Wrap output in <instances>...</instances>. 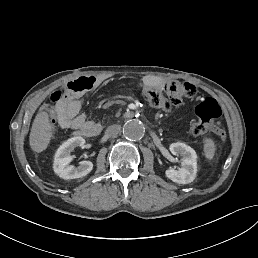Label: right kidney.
<instances>
[{
    "label": "right kidney",
    "mask_w": 258,
    "mask_h": 258,
    "mask_svg": "<svg viewBox=\"0 0 258 258\" xmlns=\"http://www.w3.org/2000/svg\"><path fill=\"white\" fill-rule=\"evenodd\" d=\"M85 139L81 136H76L65 141L56 151L54 156L53 169L54 172L61 178L75 179L86 176L91 172L93 163L90 161H81L78 167L70 165L73 156L70 153L75 147H83Z\"/></svg>",
    "instance_id": "ca27d5eb"
}]
</instances>
